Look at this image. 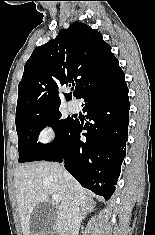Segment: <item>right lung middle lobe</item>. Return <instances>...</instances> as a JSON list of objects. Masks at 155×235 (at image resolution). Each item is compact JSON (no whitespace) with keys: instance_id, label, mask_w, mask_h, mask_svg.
Instances as JSON below:
<instances>
[{"instance_id":"right-lung-middle-lobe-1","label":"right lung middle lobe","mask_w":155,"mask_h":235,"mask_svg":"<svg viewBox=\"0 0 155 235\" xmlns=\"http://www.w3.org/2000/svg\"><path fill=\"white\" fill-rule=\"evenodd\" d=\"M74 122L70 117L63 119L58 108L29 111L17 116L18 162L44 160L54 154L65 142ZM46 126H52L55 130V140L47 145L37 143L38 134Z\"/></svg>"}]
</instances>
